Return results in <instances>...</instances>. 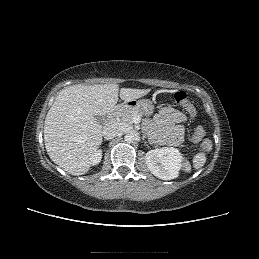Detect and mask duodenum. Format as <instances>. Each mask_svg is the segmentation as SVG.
<instances>
[{
    "instance_id": "duodenum-1",
    "label": "duodenum",
    "mask_w": 259,
    "mask_h": 259,
    "mask_svg": "<svg viewBox=\"0 0 259 259\" xmlns=\"http://www.w3.org/2000/svg\"><path fill=\"white\" fill-rule=\"evenodd\" d=\"M122 108H123V105H117V106H115V107L110 111V113L108 114V116H107V122H108V123L113 122V120L115 119V116H116L117 112H118L120 109H122Z\"/></svg>"
}]
</instances>
